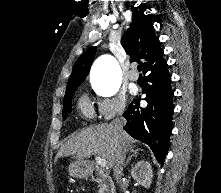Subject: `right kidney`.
<instances>
[{"label":"right kidney","instance_id":"ca27d5eb","mask_svg":"<svg viewBox=\"0 0 221 193\" xmlns=\"http://www.w3.org/2000/svg\"><path fill=\"white\" fill-rule=\"evenodd\" d=\"M133 179L144 188H150L153 178L152 166L148 161L141 160L131 170Z\"/></svg>","mask_w":221,"mask_h":193}]
</instances>
